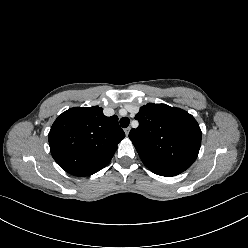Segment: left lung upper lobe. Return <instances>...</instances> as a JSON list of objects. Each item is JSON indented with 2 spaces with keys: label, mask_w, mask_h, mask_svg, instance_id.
<instances>
[{
  "label": "left lung upper lobe",
  "mask_w": 248,
  "mask_h": 248,
  "mask_svg": "<svg viewBox=\"0 0 248 248\" xmlns=\"http://www.w3.org/2000/svg\"><path fill=\"white\" fill-rule=\"evenodd\" d=\"M129 138L142 162L155 174L171 177L188 169L201 145V129L185 110L149 103L135 115Z\"/></svg>",
  "instance_id": "left-lung-upper-lobe-1"
}]
</instances>
